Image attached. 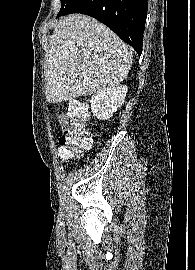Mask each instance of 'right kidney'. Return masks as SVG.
<instances>
[{
	"label": "right kidney",
	"instance_id": "ca27d5eb",
	"mask_svg": "<svg viewBox=\"0 0 195 270\" xmlns=\"http://www.w3.org/2000/svg\"><path fill=\"white\" fill-rule=\"evenodd\" d=\"M128 87L121 85L94 94L90 100L91 111L100 120H108L121 107L126 98Z\"/></svg>",
	"mask_w": 195,
	"mask_h": 270
}]
</instances>
